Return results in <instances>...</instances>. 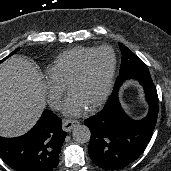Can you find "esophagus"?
<instances>
[{"instance_id": "esophagus-1", "label": "esophagus", "mask_w": 171, "mask_h": 171, "mask_svg": "<svg viewBox=\"0 0 171 171\" xmlns=\"http://www.w3.org/2000/svg\"><path fill=\"white\" fill-rule=\"evenodd\" d=\"M79 124L77 120H64L62 128L65 132H70L76 125Z\"/></svg>"}]
</instances>
